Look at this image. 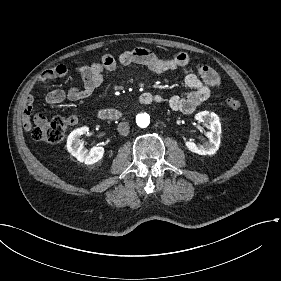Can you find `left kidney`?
Here are the masks:
<instances>
[{"instance_id":"obj_1","label":"left kidney","mask_w":281,"mask_h":281,"mask_svg":"<svg viewBox=\"0 0 281 281\" xmlns=\"http://www.w3.org/2000/svg\"><path fill=\"white\" fill-rule=\"evenodd\" d=\"M196 120L210 128L208 133L209 141L203 145L195 144L193 141H186L185 147L192 153L199 155H215L220 145L221 124L215 113L207 111L199 112L195 116Z\"/></svg>"}]
</instances>
